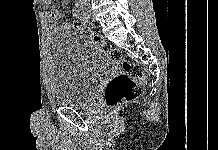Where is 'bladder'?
<instances>
[{
	"label": "bladder",
	"instance_id": "31cf9c89",
	"mask_svg": "<svg viewBox=\"0 0 218 150\" xmlns=\"http://www.w3.org/2000/svg\"><path fill=\"white\" fill-rule=\"evenodd\" d=\"M56 65L54 98L58 105L82 108L89 104L113 63L86 38L59 31L52 41Z\"/></svg>",
	"mask_w": 218,
	"mask_h": 150
}]
</instances>
